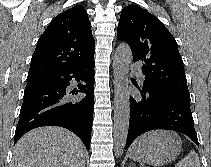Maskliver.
I'll list each match as a JSON object with an SVG mask.
<instances>
[{"mask_svg":"<svg viewBox=\"0 0 211 167\" xmlns=\"http://www.w3.org/2000/svg\"><path fill=\"white\" fill-rule=\"evenodd\" d=\"M85 147L72 132L56 127L36 128L15 145L10 167H82Z\"/></svg>","mask_w":211,"mask_h":167,"instance_id":"1","label":"liver"}]
</instances>
